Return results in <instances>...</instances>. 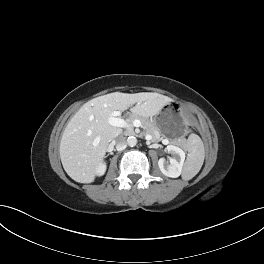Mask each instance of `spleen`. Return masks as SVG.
<instances>
[{"label": "spleen", "mask_w": 264, "mask_h": 264, "mask_svg": "<svg viewBox=\"0 0 264 264\" xmlns=\"http://www.w3.org/2000/svg\"><path fill=\"white\" fill-rule=\"evenodd\" d=\"M186 148L189 154L182 176L184 180H190L200 171L205 158V150L201 138L195 133L189 135Z\"/></svg>", "instance_id": "spleen-1"}]
</instances>
